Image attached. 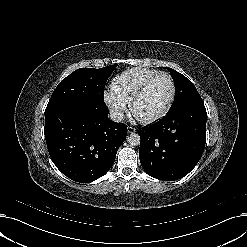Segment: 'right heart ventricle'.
I'll return each mask as SVG.
<instances>
[{
	"instance_id": "1",
	"label": "right heart ventricle",
	"mask_w": 247,
	"mask_h": 247,
	"mask_svg": "<svg viewBox=\"0 0 247 247\" xmlns=\"http://www.w3.org/2000/svg\"><path fill=\"white\" fill-rule=\"evenodd\" d=\"M151 68L137 67L118 75L112 82L111 95L126 104L138 88L151 76L158 73Z\"/></svg>"
}]
</instances>
